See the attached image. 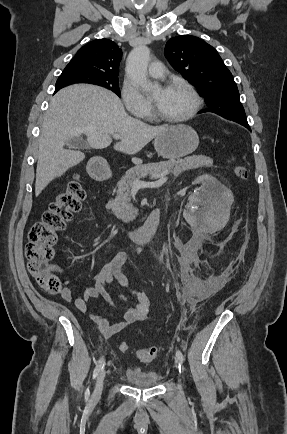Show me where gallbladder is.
I'll return each mask as SVG.
<instances>
[{"label":"gallbladder","mask_w":287,"mask_h":434,"mask_svg":"<svg viewBox=\"0 0 287 434\" xmlns=\"http://www.w3.org/2000/svg\"><path fill=\"white\" fill-rule=\"evenodd\" d=\"M67 147L75 150L86 149L88 148V144L81 137L70 138L66 142Z\"/></svg>","instance_id":"obj_1"}]
</instances>
